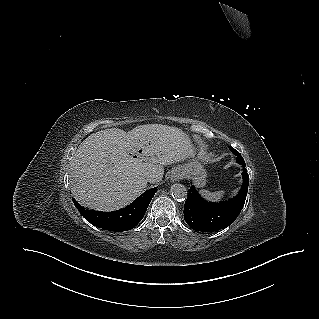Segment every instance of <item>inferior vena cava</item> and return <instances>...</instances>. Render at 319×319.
<instances>
[{
  "label": "inferior vena cava",
  "instance_id": "inferior-vena-cava-1",
  "mask_svg": "<svg viewBox=\"0 0 319 319\" xmlns=\"http://www.w3.org/2000/svg\"><path fill=\"white\" fill-rule=\"evenodd\" d=\"M151 179H152V175H148V176L146 177V180H147V181H151Z\"/></svg>",
  "mask_w": 319,
  "mask_h": 319
}]
</instances>
